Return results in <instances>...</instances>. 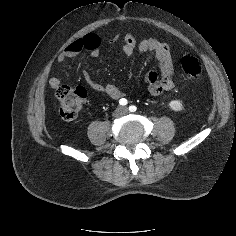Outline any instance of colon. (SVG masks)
<instances>
[{"instance_id":"colon-1","label":"colon","mask_w":236,"mask_h":236,"mask_svg":"<svg viewBox=\"0 0 236 236\" xmlns=\"http://www.w3.org/2000/svg\"><path fill=\"white\" fill-rule=\"evenodd\" d=\"M183 76L190 79L199 78L202 73L200 61L191 55L184 56L181 60ZM86 93L81 88L62 85L57 89L58 112L62 119L71 121L80 112Z\"/></svg>"}]
</instances>
